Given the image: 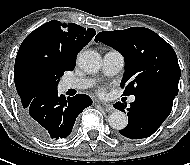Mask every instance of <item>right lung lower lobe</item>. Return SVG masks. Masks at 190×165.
<instances>
[{"mask_svg":"<svg viewBox=\"0 0 190 165\" xmlns=\"http://www.w3.org/2000/svg\"><path fill=\"white\" fill-rule=\"evenodd\" d=\"M92 104L88 95L74 97L58 95L57 89L38 94L26 108H21L22 119L40 139L53 141L70 135L77 116Z\"/></svg>","mask_w":190,"mask_h":165,"instance_id":"right-lung-lower-lobe-1","label":"right lung lower lobe"}]
</instances>
